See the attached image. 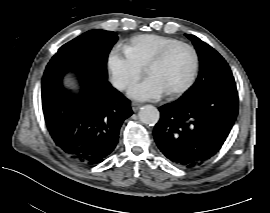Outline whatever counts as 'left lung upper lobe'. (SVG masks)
I'll return each mask as SVG.
<instances>
[{"mask_svg": "<svg viewBox=\"0 0 270 213\" xmlns=\"http://www.w3.org/2000/svg\"><path fill=\"white\" fill-rule=\"evenodd\" d=\"M185 35L197 50L200 72L196 82L183 98H195L226 83L235 82L227 62L216 50L194 35Z\"/></svg>", "mask_w": 270, "mask_h": 213, "instance_id": "5c2ea615", "label": "left lung upper lobe"}]
</instances>
